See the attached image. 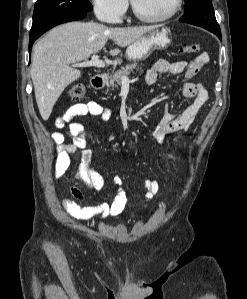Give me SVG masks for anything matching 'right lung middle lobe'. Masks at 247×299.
Wrapping results in <instances>:
<instances>
[{
	"mask_svg": "<svg viewBox=\"0 0 247 299\" xmlns=\"http://www.w3.org/2000/svg\"><path fill=\"white\" fill-rule=\"evenodd\" d=\"M89 0H37L30 34L38 32L50 22L75 12H89Z\"/></svg>",
	"mask_w": 247,
	"mask_h": 299,
	"instance_id": "1",
	"label": "right lung middle lobe"
}]
</instances>
